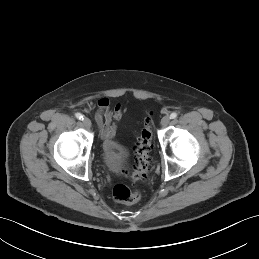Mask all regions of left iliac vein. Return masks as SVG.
Here are the masks:
<instances>
[{"label":"left iliac vein","mask_w":259,"mask_h":259,"mask_svg":"<svg viewBox=\"0 0 259 259\" xmlns=\"http://www.w3.org/2000/svg\"><path fill=\"white\" fill-rule=\"evenodd\" d=\"M169 123H170V117H169V116H164V117L161 119V125H162L163 127H166Z\"/></svg>","instance_id":"left-iliac-vein-1"}]
</instances>
